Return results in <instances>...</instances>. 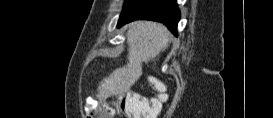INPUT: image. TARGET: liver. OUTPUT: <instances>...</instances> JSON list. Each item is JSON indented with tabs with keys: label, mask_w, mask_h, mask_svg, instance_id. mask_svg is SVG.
Returning <instances> with one entry per match:
<instances>
[{
	"label": "liver",
	"mask_w": 273,
	"mask_h": 118,
	"mask_svg": "<svg viewBox=\"0 0 273 118\" xmlns=\"http://www.w3.org/2000/svg\"><path fill=\"white\" fill-rule=\"evenodd\" d=\"M167 28L156 22L138 21L129 26L127 32L128 62L113 71L98 86L99 98L124 94L142 76V64L155 58L170 43Z\"/></svg>",
	"instance_id": "1"
}]
</instances>
